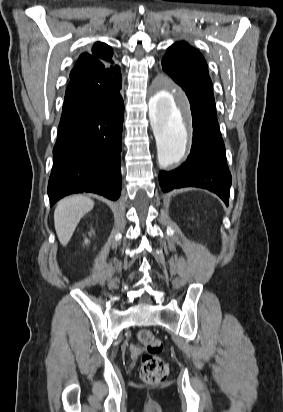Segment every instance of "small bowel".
<instances>
[{
  "instance_id": "small-bowel-1",
  "label": "small bowel",
  "mask_w": 283,
  "mask_h": 412,
  "mask_svg": "<svg viewBox=\"0 0 283 412\" xmlns=\"http://www.w3.org/2000/svg\"><path fill=\"white\" fill-rule=\"evenodd\" d=\"M141 352L140 347H138L137 345H132L131 346V353L134 357L138 356Z\"/></svg>"
}]
</instances>
